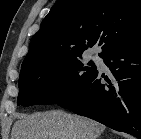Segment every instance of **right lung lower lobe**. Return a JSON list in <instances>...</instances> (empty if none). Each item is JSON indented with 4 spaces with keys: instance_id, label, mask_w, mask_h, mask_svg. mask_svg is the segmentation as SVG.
<instances>
[{
    "instance_id": "right-lung-lower-lobe-1",
    "label": "right lung lower lobe",
    "mask_w": 141,
    "mask_h": 139,
    "mask_svg": "<svg viewBox=\"0 0 141 139\" xmlns=\"http://www.w3.org/2000/svg\"><path fill=\"white\" fill-rule=\"evenodd\" d=\"M112 72L101 83L96 71L67 99L57 103L78 115L141 139V40L102 57Z\"/></svg>"
}]
</instances>
